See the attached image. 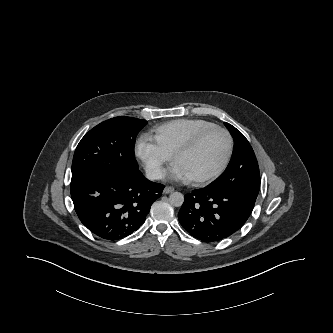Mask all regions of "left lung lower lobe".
<instances>
[{"mask_svg": "<svg viewBox=\"0 0 333 333\" xmlns=\"http://www.w3.org/2000/svg\"><path fill=\"white\" fill-rule=\"evenodd\" d=\"M255 201L229 188L209 184L184 196L178 213L182 227L203 242H218L247 221Z\"/></svg>", "mask_w": 333, "mask_h": 333, "instance_id": "obj_1", "label": "left lung lower lobe"}]
</instances>
